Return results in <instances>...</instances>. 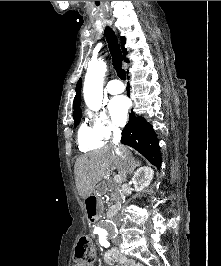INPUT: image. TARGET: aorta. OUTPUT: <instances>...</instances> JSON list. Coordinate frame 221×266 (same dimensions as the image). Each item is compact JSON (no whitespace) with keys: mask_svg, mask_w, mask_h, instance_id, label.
<instances>
[{"mask_svg":"<svg viewBox=\"0 0 221 266\" xmlns=\"http://www.w3.org/2000/svg\"><path fill=\"white\" fill-rule=\"evenodd\" d=\"M105 72L106 63L102 59L91 62L87 69L83 94L87 107L93 111H98L102 106Z\"/></svg>","mask_w":221,"mask_h":266,"instance_id":"762f6f07","label":"aorta"}]
</instances>
